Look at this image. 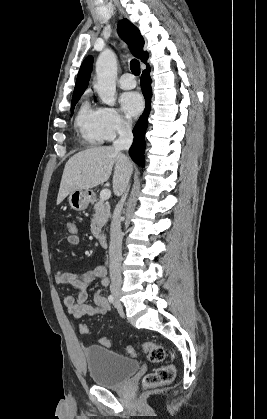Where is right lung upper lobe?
Here are the masks:
<instances>
[{
	"label": "right lung upper lobe",
	"instance_id": "obj_1",
	"mask_svg": "<svg viewBox=\"0 0 267 419\" xmlns=\"http://www.w3.org/2000/svg\"><path fill=\"white\" fill-rule=\"evenodd\" d=\"M117 30L120 37L127 42L132 54L147 64L148 53L143 51L144 39L141 36L138 28L128 19H123L118 23ZM92 64V56L86 57V59L83 61L78 72L73 97L82 95L87 88L92 70Z\"/></svg>",
	"mask_w": 267,
	"mask_h": 419
}]
</instances>
